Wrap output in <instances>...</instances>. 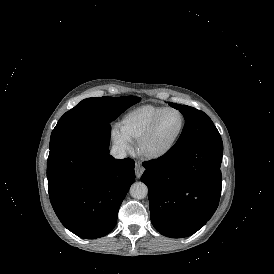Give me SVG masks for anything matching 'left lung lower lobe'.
<instances>
[{
	"label": "left lung lower lobe",
	"instance_id": "left-lung-lower-lobe-1",
	"mask_svg": "<svg viewBox=\"0 0 274 274\" xmlns=\"http://www.w3.org/2000/svg\"><path fill=\"white\" fill-rule=\"evenodd\" d=\"M221 139L203 140L170 149L144 162L141 177L148 186L153 226L171 238L197 232L218 207L222 188Z\"/></svg>",
	"mask_w": 274,
	"mask_h": 274
}]
</instances>
